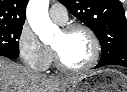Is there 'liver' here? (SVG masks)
<instances>
[{
	"instance_id": "obj_1",
	"label": "liver",
	"mask_w": 127,
	"mask_h": 92,
	"mask_svg": "<svg viewBox=\"0 0 127 92\" xmlns=\"http://www.w3.org/2000/svg\"><path fill=\"white\" fill-rule=\"evenodd\" d=\"M79 77H47L0 56V92H66Z\"/></svg>"
}]
</instances>
